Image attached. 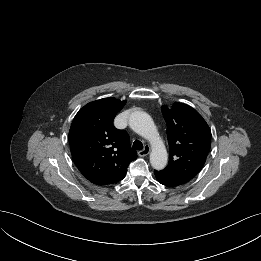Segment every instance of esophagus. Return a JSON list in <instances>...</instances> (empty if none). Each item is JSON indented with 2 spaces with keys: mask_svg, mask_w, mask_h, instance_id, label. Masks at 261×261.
<instances>
[{
  "mask_svg": "<svg viewBox=\"0 0 261 261\" xmlns=\"http://www.w3.org/2000/svg\"><path fill=\"white\" fill-rule=\"evenodd\" d=\"M150 153V147L148 145L144 146V149L138 152L140 157L147 156Z\"/></svg>",
  "mask_w": 261,
  "mask_h": 261,
  "instance_id": "1",
  "label": "esophagus"
}]
</instances>
